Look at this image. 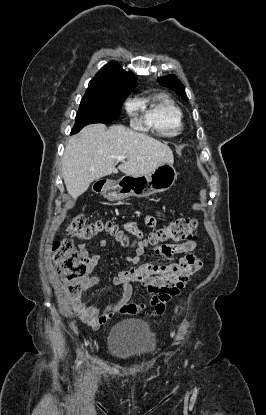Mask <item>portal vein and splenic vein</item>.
<instances>
[{
  "label": "portal vein and splenic vein",
  "mask_w": 266,
  "mask_h": 415,
  "mask_svg": "<svg viewBox=\"0 0 266 415\" xmlns=\"http://www.w3.org/2000/svg\"><path fill=\"white\" fill-rule=\"evenodd\" d=\"M126 157L125 156H123V155H120V156H117V157H115V159L117 160V161H122L123 159H125Z\"/></svg>",
  "instance_id": "18ae733b"
}]
</instances>
